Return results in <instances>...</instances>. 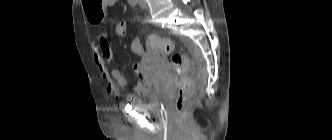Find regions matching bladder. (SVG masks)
<instances>
[{
  "instance_id": "bladder-1",
  "label": "bladder",
  "mask_w": 332,
  "mask_h": 140,
  "mask_svg": "<svg viewBox=\"0 0 332 140\" xmlns=\"http://www.w3.org/2000/svg\"><path fill=\"white\" fill-rule=\"evenodd\" d=\"M162 100L161 93L151 92L147 94L146 98L135 99L132 101V105L138 109L146 111H157L160 108V102Z\"/></svg>"
}]
</instances>
